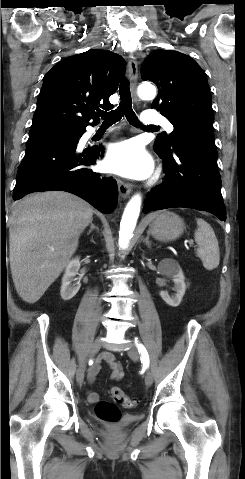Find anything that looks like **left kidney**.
I'll use <instances>...</instances> for the list:
<instances>
[{"mask_svg":"<svg viewBox=\"0 0 245 479\" xmlns=\"http://www.w3.org/2000/svg\"><path fill=\"white\" fill-rule=\"evenodd\" d=\"M158 270L160 271L162 275L172 277L175 284L174 290L176 291V294L174 296H170L168 292L166 291H161L160 292L161 298L169 306L177 307L180 304L186 290V285L184 282L185 277L180 265L174 259L165 258L159 263Z\"/></svg>","mask_w":245,"mask_h":479,"instance_id":"5707ae66","label":"left kidney"}]
</instances>
